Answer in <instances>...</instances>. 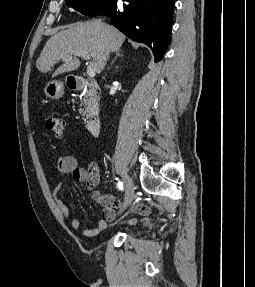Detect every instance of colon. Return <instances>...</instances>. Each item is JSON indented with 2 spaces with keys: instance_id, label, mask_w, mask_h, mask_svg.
<instances>
[{
  "instance_id": "colon-1",
  "label": "colon",
  "mask_w": 255,
  "mask_h": 287,
  "mask_svg": "<svg viewBox=\"0 0 255 287\" xmlns=\"http://www.w3.org/2000/svg\"><path fill=\"white\" fill-rule=\"evenodd\" d=\"M64 121L56 116H48L46 119V127L55 136L60 137L64 131Z\"/></svg>"
}]
</instances>
